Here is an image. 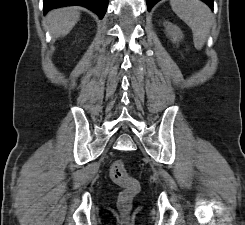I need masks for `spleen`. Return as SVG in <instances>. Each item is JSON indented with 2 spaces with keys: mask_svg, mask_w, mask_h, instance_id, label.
I'll list each match as a JSON object with an SVG mask.
<instances>
[{
  "mask_svg": "<svg viewBox=\"0 0 245 225\" xmlns=\"http://www.w3.org/2000/svg\"><path fill=\"white\" fill-rule=\"evenodd\" d=\"M170 4L178 17L192 29L194 46L200 50L213 23L210 9L200 0H170Z\"/></svg>",
  "mask_w": 245,
  "mask_h": 225,
  "instance_id": "3e777b00",
  "label": "spleen"
}]
</instances>
